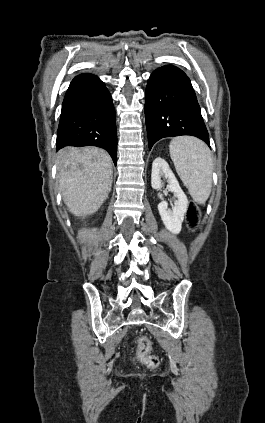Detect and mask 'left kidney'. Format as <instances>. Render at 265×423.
<instances>
[{
    "instance_id": "left-kidney-1",
    "label": "left kidney",
    "mask_w": 265,
    "mask_h": 423,
    "mask_svg": "<svg viewBox=\"0 0 265 423\" xmlns=\"http://www.w3.org/2000/svg\"><path fill=\"white\" fill-rule=\"evenodd\" d=\"M161 175L168 179L167 189L173 193L176 198L172 209L168 208L166 201L162 200L158 204L159 214L165 227L173 234L181 231L184 215L187 212L189 201L181 189L175 175L170 169L165 159L157 157L152 164L151 185L154 189H160L163 186ZM161 197V195H158Z\"/></svg>"
}]
</instances>
